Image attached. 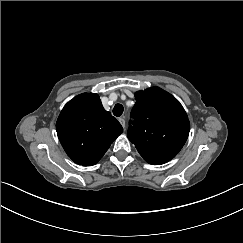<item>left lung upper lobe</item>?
I'll return each mask as SVG.
<instances>
[{
	"instance_id": "obj_1",
	"label": "left lung upper lobe",
	"mask_w": 243,
	"mask_h": 243,
	"mask_svg": "<svg viewBox=\"0 0 243 243\" xmlns=\"http://www.w3.org/2000/svg\"><path fill=\"white\" fill-rule=\"evenodd\" d=\"M135 99L129 140L148 163L160 165L170 161L189 135L185 110L175 97L159 87L138 91Z\"/></svg>"
}]
</instances>
